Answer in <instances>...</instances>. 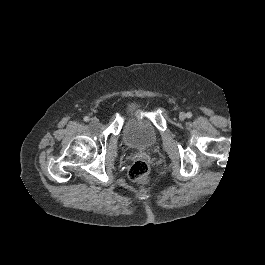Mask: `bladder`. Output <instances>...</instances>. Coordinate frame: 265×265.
Returning a JSON list of instances; mask_svg holds the SVG:
<instances>
[{"mask_svg": "<svg viewBox=\"0 0 265 265\" xmlns=\"http://www.w3.org/2000/svg\"><path fill=\"white\" fill-rule=\"evenodd\" d=\"M123 139L125 143L135 149H148L156 145L158 133L146 121L131 120L125 126Z\"/></svg>", "mask_w": 265, "mask_h": 265, "instance_id": "31cf9c89", "label": "bladder"}]
</instances>
